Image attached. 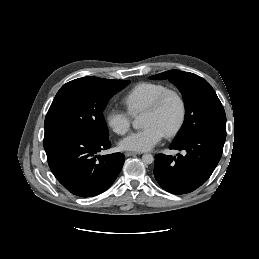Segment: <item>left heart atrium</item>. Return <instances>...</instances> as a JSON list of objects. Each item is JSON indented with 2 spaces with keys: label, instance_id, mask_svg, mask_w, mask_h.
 <instances>
[{
  "label": "left heart atrium",
  "instance_id": "39dd6f15",
  "mask_svg": "<svg viewBox=\"0 0 259 259\" xmlns=\"http://www.w3.org/2000/svg\"><path fill=\"white\" fill-rule=\"evenodd\" d=\"M164 133L155 125H149L122 139L119 146L123 150L144 152L152 149L163 138Z\"/></svg>",
  "mask_w": 259,
  "mask_h": 259
}]
</instances>
